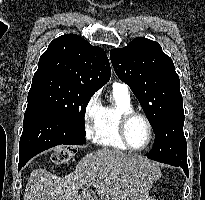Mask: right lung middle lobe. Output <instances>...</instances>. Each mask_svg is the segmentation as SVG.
I'll return each instance as SVG.
<instances>
[{
  "instance_id": "1",
  "label": "right lung middle lobe",
  "mask_w": 205,
  "mask_h": 200,
  "mask_svg": "<svg viewBox=\"0 0 205 200\" xmlns=\"http://www.w3.org/2000/svg\"><path fill=\"white\" fill-rule=\"evenodd\" d=\"M95 92L76 83L57 78L32 80L28 104H39L66 120L85 135L84 115Z\"/></svg>"
}]
</instances>
